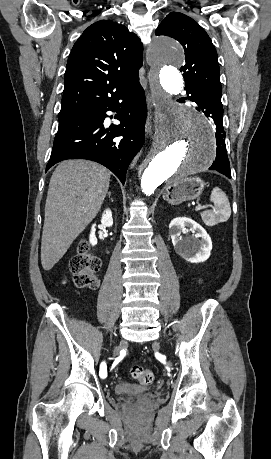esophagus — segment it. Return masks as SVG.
<instances>
[{"mask_svg": "<svg viewBox=\"0 0 271 459\" xmlns=\"http://www.w3.org/2000/svg\"><path fill=\"white\" fill-rule=\"evenodd\" d=\"M147 60H148L149 64H151L150 62L153 61L152 58L148 59V57H147ZM146 96H147L148 106H149V108H151L152 99H151L150 93H147ZM145 132H146L147 136H150L152 134V114H151V112H149L148 117H147V121H146V125H145Z\"/></svg>", "mask_w": 271, "mask_h": 459, "instance_id": "obj_1", "label": "esophagus"}]
</instances>
